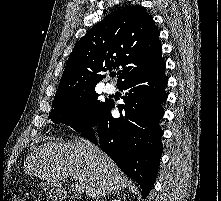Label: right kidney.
<instances>
[{"mask_svg":"<svg viewBox=\"0 0 221 201\" xmlns=\"http://www.w3.org/2000/svg\"><path fill=\"white\" fill-rule=\"evenodd\" d=\"M112 201H121L120 199H114V200H112Z\"/></svg>","mask_w":221,"mask_h":201,"instance_id":"ca27d5eb","label":"right kidney"}]
</instances>
